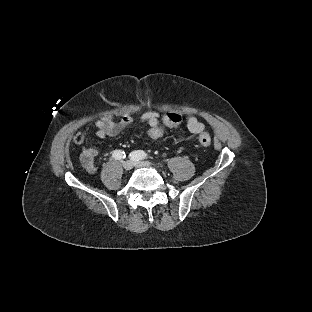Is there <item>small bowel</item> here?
Masks as SVG:
<instances>
[{
  "mask_svg": "<svg viewBox=\"0 0 312 312\" xmlns=\"http://www.w3.org/2000/svg\"><path fill=\"white\" fill-rule=\"evenodd\" d=\"M140 120L146 122L149 126V136L153 128L160 124V115L155 111H148L141 115ZM133 122V115L131 113L124 114L120 120H115L110 116L103 117L94 122L96 128V136L98 138L114 137L120 134L128 125ZM186 126L192 136H197L205 129L204 123L193 115L186 117ZM98 150L95 147H84L80 154V160L84 169L94 174L97 172V166L94 162Z\"/></svg>",
  "mask_w": 312,
  "mask_h": 312,
  "instance_id": "small-bowel-1",
  "label": "small bowel"
}]
</instances>
